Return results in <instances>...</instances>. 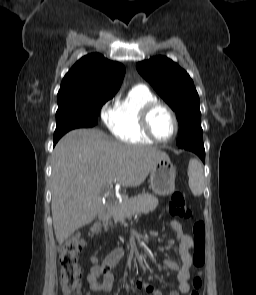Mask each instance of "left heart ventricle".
I'll use <instances>...</instances> for the list:
<instances>
[{
  "mask_svg": "<svg viewBox=\"0 0 256 295\" xmlns=\"http://www.w3.org/2000/svg\"><path fill=\"white\" fill-rule=\"evenodd\" d=\"M151 127L154 134L162 140L172 136L174 123L169 113L162 109H156L151 116Z\"/></svg>",
  "mask_w": 256,
  "mask_h": 295,
  "instance_id": "1",
  "label": "left heart ventricle"
}]
</instances>
